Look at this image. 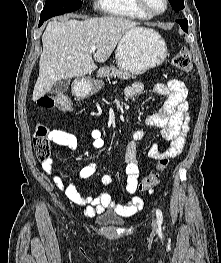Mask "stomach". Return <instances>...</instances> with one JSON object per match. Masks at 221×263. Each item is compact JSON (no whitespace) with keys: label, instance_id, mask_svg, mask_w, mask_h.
Instances as JSON below:
<instances>
[{"label":"stomach","instance_id":"1","mask_svg":"<svg viewBox=\"0 0 221 263\" xmlns=\"http://www.w3.org/2000/svg\"><path fill=\"white\" fill-rule=\"evenodd\" d=\"M167 46L163 38L151 29L131 30L120 40L116 50V62L121 69L133 74H143L159 66L166 59ZM86 92L95 91L97 85L88 80Z\"/></svg>","mask_w":221,"mask_h":263}]
</instances>
